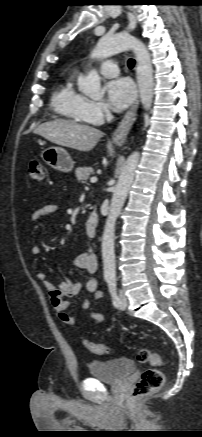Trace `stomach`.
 Here are the masks:
<instances>
[{
	"mask_svg": "<svg viewBox=\"0 0 202 437\" xmlns=\"http://www.w3.org/2000/svg\"><path fill=\"white\" fill-rule=\"evenodd\" d=\"M41 157L47 165L64 173L71 172L74 167V161L62 147H48L42 151Z\"/></svg>",
	"mask_w": 202,
	"mask_h": 437,
	"instance_id": "0dacf381",
	"label": "stomach"
}]
</instances>
